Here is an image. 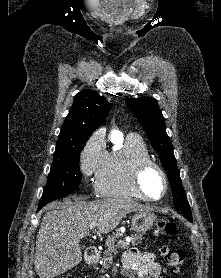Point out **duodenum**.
Instances as JSON below:
<instances>
[{"mask_svg": "<svg viewBox=\"0 0 221 278\" xmlns=\"http://www.w3.org/2000/svg\"><path fill=\"white\" fill-rule=\"evenodd\" d=\"M99 256V251L94 246H88L85 249V259L88 264L94 263L95 259Z\"/></svg>", "mask_w": 221, "mask_h": 278, "instance_id": "1", "label": "duodenum"}]
</instances>
